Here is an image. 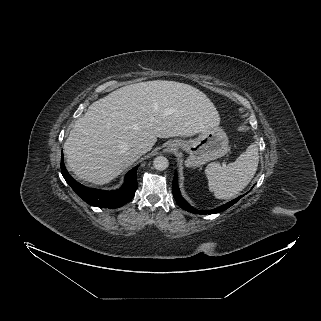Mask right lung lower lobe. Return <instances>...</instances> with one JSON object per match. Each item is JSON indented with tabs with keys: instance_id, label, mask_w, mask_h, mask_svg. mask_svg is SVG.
Listing matches in <instances>:
<instances>
[{
	"instance_id": "obj_1",
	"label": "right lung lower lobe",
	"mask_w": 321,
	"mask_h": 321,
	"mask_svg": "<svg viewBox=\"0 0 321 321\" xmlns=\"http://www.w3.org/2000/svg\"><path fill=\"white\" fill-rule=\"evenodd\" d=\"M61 173L75 193L91 206L104 208L121 207L133 199L135 191L137 190V167L126 174L124 185L120 189L114 191L88 188L75 181L65 168L63 153L61 156Z\"/></svg>"
}]
</instances>
